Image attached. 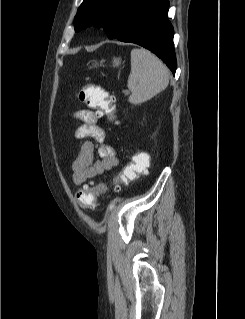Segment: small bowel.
<instances>
[{"label":"small bowel","mask_w":245,"mask_h":319,"mask_svg":"<svg viewBox=\"0 0 245 319\" xmlns=\"http://www.w3.org/2000/svg\"><path fill=\"white\" fill-rule=\"evenodd\" d=\"M99 114L82 109L74 118L82 121L75 130L74 137L86 140L72 163L73 182L84 184L118 165L114 149L105 142V130L98 124ZM97 156V157H96Z\"/></svg>","instance_id":"1"}]
</instances>
